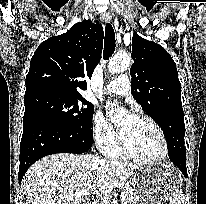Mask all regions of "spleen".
I'll return each mask as SVG.
<instances>
[{
	"mask_svg": "<svg viewBox=\"0 0 206 204\" xmlns=\"http://www.w3.org/2000/svg\"><path fill=\"white\" fill-rule=\"evenodd\" d=\"M183 203V194L182 192L175 191L170 197L169 204H182Z\"/></svg>",
	"mask_w": 206,
	"mask_h": 204,
	"instance_id": "3e777b00",
	"label": "spleen"
}]
</instances>
